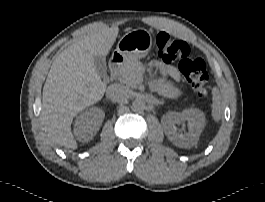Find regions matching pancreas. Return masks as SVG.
Listing matches in <instances>:
<instances>
[{
  "mask_svg": "<svg viewBox=\"0 0 265 202\" xmlns=\"http://www.w3.org/2000/svg\"><path fill=\"white\" fill-rule=\"evenodd\" d=\"M144 72V67L139 60H128L120 67L118 71L119 80L130 87H135L140 83L142 75ZM160 82L164 86H171L172 84L165 83L164 79H160Z\"/></svg>",
  "mask_w": 265,
  "mask_h": 202,
  "instance_id": "cf45deb5",
  "label": "pancreas"
}]
</instances>
